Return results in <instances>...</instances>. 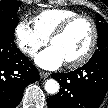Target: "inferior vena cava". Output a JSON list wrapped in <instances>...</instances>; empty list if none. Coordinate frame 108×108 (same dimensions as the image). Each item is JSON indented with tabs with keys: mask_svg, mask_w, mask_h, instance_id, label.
<instances>
[{
	"mask_svg": "<svg viewBox=\"0 0 108 108\" xmlns=\"http://www.w3.org/2000/svg\"><path fill=\"white\" fill-rule=\"evenodd\" d=\"M29 53H30L31 55H34V54L36 53V51H35V50H30Z\"/></svg>",
	"mask_w": 108,
	"mask_h": 108,
	"instance_id": "602c4592",
	"label": "inferior vena cava"
}]
</instances>
